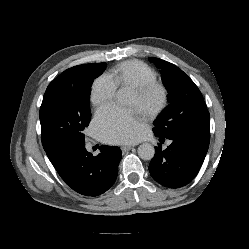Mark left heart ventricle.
<instances>
[{
	"label": "left heart ventricle",
	"instance_id": "1",
	"mask_svg": "<svg viewBox=\"0 0 249 249\" xmlns=\"http://www.w3.org/2000/svg\"><path fill=\"white\" fill-rule=\"evenodd\" d=\"M160 101V92L153 89L144 97L139 98L135 93H131L129 107L135 109L140 115L145 116L149 111L155 108Z\"/></svg>",
	"mask_w": 249,
	"mask_h": 249
}]
</instances>
